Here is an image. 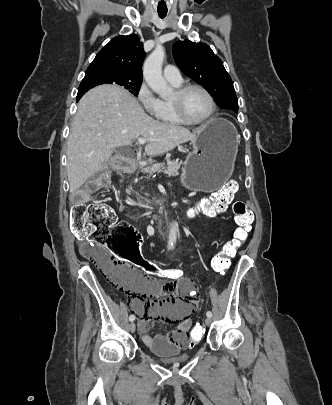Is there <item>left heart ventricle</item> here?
Segmentation results:
<instances>
[{"label": "left heart ventricle", "instance_id": "1", "mask_svg": "<svg viewBox=\"0 0 332 405\" xmlns=\"http://www.w3.org/2000/svg\"><path fill=\"white\" fill-rule=\"evenodd\" d=\"M183 109L186 117L190 120H200L209 114L211 104L208 97L203 92L192 89L189 90L183 98Z\"/></svg>", "mask_w": 332, "mask_h": 405}]
</instances>
